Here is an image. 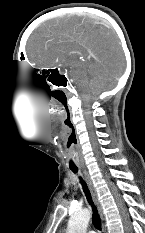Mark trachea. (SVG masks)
<instances>
[{"mask_svg":"<svg viewBox=\"0 0 145 233\" xmlns=\"http://www.w3.org/2000/svg\"><path fill=\"white\" fill-rule=\"evenodd\" d=\"M70 169L72 170L73 173H78V168L76 167H70ZM80 179V183L82 184V187H83V191L86 195V198H87V201L89 202L90 206L92 207V222H93V225L96 229H98L99 231L102 230V225H101V219L99 217V214H98V211H97V208L96 206L94 205L93 201H92V198H91V194L89 192V189L86 185V183L84 182V180L79 177Z\"/></svg>","mask_w":145,"mask_h":233,"instance_id":"obj_1","label":"trachea"}]
</instances>
